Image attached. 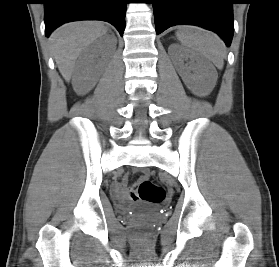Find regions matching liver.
<instances>
[{
	"instance_id": "liver-1",
	"label": "liver",
	"mask_w": 279,
	"mask_h": 267,
	"mask_svg": "<svg viewBox=\"0 0 279 267\" xmlns=\"http://www.w3.org/2000/svg\"><path fill=\"white\" fill-rule=\"evenodd\" d=\"M107 27L99 21L68 23L55 30L49 41L58 69L66 81L71 79L75 62L82 51L103 36Z\"/></svg>"
}]
</instances>
